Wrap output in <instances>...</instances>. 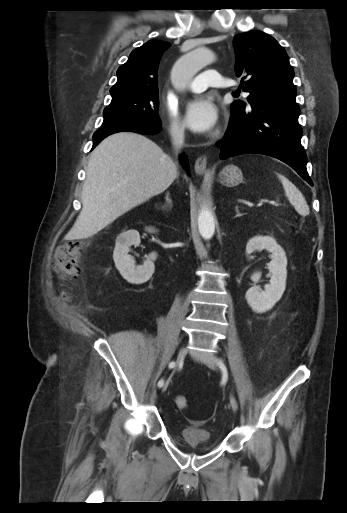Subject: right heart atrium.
<instances>
[{
    "label": "right heart atrium",
    "mask_w": 347,
    "mask_h": 513,
    "mask_svg": "<svg viewBox=\"0 0 347 513\" xmlns=\"http://www.w3.org/2000/svg\"><path fill=\"white\" fill-rule=\"evenodd\" d=\"M163 110L167 117L171 135L175 139H182L184 136V125L178 116L176 106L170 100L165 99L163 101Z\"/></svg>",
    "instance_id": "1"
}]
</instances>
